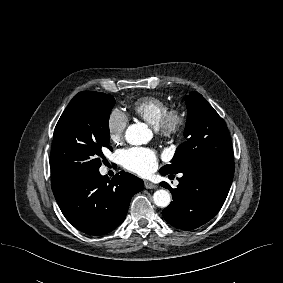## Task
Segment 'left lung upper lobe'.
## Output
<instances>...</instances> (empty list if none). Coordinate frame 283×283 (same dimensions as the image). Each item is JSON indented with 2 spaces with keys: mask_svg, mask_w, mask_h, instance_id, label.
Masks as SVG:
<instances>
[{
  "mask_svg": "<svg viewBox=\"0 0 283 283\" xmlns=\"http://www.w3.org/2000/svg\"><path fill=\"white\" fill-rule=\"evenodd\" d=\"M188 117L186 141L175 152L171 164L160 171L177 174L196 167H223L233 164V149L224 120L199 93L186 97Z\"/></svg>",
  "mask_w": 283,
  "mask_h": 283,
  "instance_id": "5c2ea615",
  "label": "left lung upper lobe"
}]
</instances>
